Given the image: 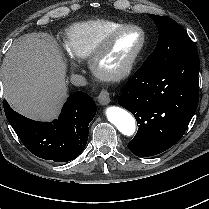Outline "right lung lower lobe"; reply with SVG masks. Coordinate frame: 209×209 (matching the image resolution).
Here are the masks:
<instances>
[{
  "mask_svg": "<svg viewBox=\"0 0 209 209\" xmlns=\"http://www.w3.org/2000/svg\"><path fill=\"white\" fill-rule=\"evenodd\" d=\"M96 110L94 100L78 91L68 97L57 120L38 122L18 114L4 100L6 118L24 146L37 157L54 162L71 161L80 155Z\"/></svg>",
  "mask_w": 209,
  "mask_h": 209,
  "instance_id": "right-lung-lower-lobe-1",
  "label": "right lung lower lobe"
}]
</instances>
